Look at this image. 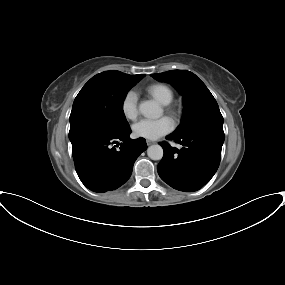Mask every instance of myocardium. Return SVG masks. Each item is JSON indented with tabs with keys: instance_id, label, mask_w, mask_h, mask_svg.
<instances>
[{
	"instance_id": "myocardium-1",
	"label": "myocardium",
	"mask_w": 285,
	"mask_h": 285,
	"mask_svg": "<svg viewBox=\"0 0 285 285\" xmlns=\"http://www.w3.org/2000/svg\"><path fill=\"white\" fill-rule=\"evenodd\" d=\"M167 111L174 117H178L181 113V107L179 105L173 104L167 107Z\"/></svg>"
}]
</instances>
